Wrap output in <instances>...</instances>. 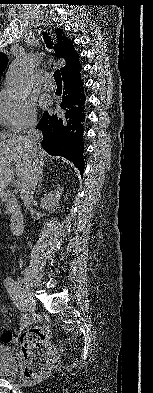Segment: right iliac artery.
<instances>
[{
    "label": "right iliac artery",
    "instance_id": "right-iliac-artery-1",
    "mask_svg": "<svg viewBox=\"0 0 153 393\" xmlns=\"http://www.w3.org/2000/svg\"><path fill=\"white\" fill-rule=\"evenodd\" d=\"M4 285L10 298L14 301L17 308L20 310H24L23 306L25 305L26 300L21 293V285L16 284V282L10 277H7L4 280Z\"/></svg>",
    "mask_w": 153,
    "mask_h": 393
}]
</instances>
